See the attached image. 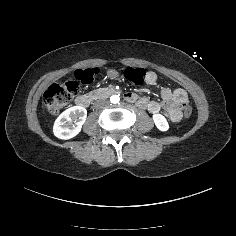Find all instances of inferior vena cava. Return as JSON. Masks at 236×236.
Listing matches in <instances>:
<instances>
[{
    "instance_id": "inferior-vena-cava-1",
    "label": "inferior vena cava",
    "mask_w": 236,
    "mask_h": 236,
    "mask_svg": "<svg viewBox=\"0 0 236 236\" xmlns=\"http://www.w3.org/2000/svg\"><path fill=\"white\" fill-rule=\"evenodd\" d=\"M106 105V100H99L94 103V107L97 108V106L100 108L101 106Z\"/></svg>"
}]
</instances>
